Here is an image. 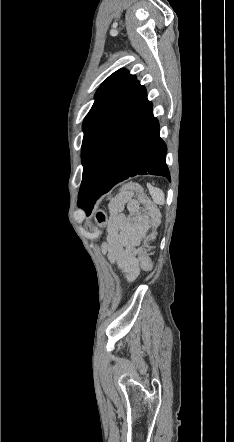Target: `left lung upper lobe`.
Wrapping results in <instances>:
<instances>
[{
	"label": "left lung upper lobe",
	"mask_w": 234,
	"mask_h": 442,
	"mask_svg": "<svg viewBox=\"0 0 234 442\" xmlns=\"http://www.w3.org/2000/svg\"><path fill=\"white\" fill-rule=\"evenodd\" d=\"M136 81L135 75H131L125 69H119L101 84L95 94V102L83 122L82 150L92 132L112 112Z\"/></svg>",
	"instance_id": "5c2ea615"
}]
</instances>
